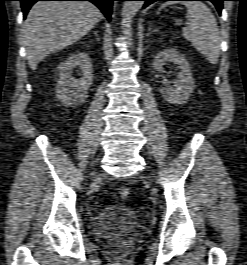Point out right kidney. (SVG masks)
Listing matches in <instances>:
<instances>
[{"label": "right kidney", "instance_id": "ca27d5eb", "mask_svg": "<svg viewBox=\"0 0 247 265\" xmlns=\"http://www.w3.org/2000/svg\"><path fill=\"white\" fill-rule=\"evenodd\" d=\"M79 67L82 77L75 79L71 71ZM59 80L56 85V96L65 106L83 103L87 98L88 89L93 82L92 63L88 54L78 52L60 63Z\"/></svg>", "mask_w": 247, "mask_h": 265}]
</instances>
